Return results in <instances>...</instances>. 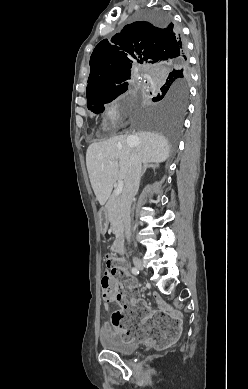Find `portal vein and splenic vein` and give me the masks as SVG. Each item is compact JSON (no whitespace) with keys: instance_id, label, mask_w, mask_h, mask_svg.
Returning a JSON list of instances; mask_svg holds the SVG:
<instances>
[{"instance_id":"1","label":"portal vein and splenic vein","mask_w":248,"mask_h":389,"mask_svg":"<svg viewBox=\"0 0 248 389\" xmlns=\"http://www.w3.org/2000/svg\"><path fill=\"white\" fill-rule=\"evenodd\" d=\"M123 186H124V183H123L122 180H120L118 182V185H117L116 189L114 190V195L115 196H119L121 194V192L123 190Z\"/></svg>"}]
</instances>
